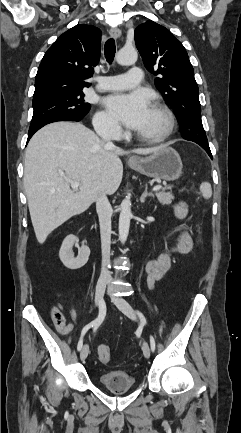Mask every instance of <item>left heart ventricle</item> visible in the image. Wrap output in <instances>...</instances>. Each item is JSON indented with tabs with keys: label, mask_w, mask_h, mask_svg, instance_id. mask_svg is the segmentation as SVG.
Listing matches in <instances>:
<instances>
[{
	"label": "left heart ventricle",
	"mask_w": 241,
	"mask_h": 433,
	"mask_svg": "<svg viewBox=\"0 0 241 433\" xmlns=\"http://www.w3.org/2000/svg\"><path fill=\"white\" fill-rule=\"evenodd\" d=\"M166 127V118L155 109L151 108L148 118L138 132L146 134H158Z\"/></svg>",
	"instance_id": "left-heart-ventricle-1"
}]
</instances>
